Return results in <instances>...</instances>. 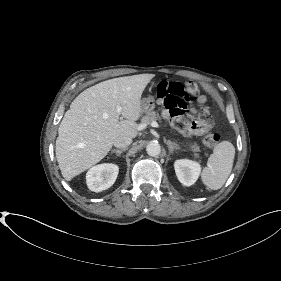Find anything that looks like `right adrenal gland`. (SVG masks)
Wrapping results in <instances>:
<instances>
[{"mask_svg": "<svg viewBox=\"0 0 281 281\" xmlns=\"http://www.w3.org/2000/svg\"><path fill=\"white\" fill-rule=\"evenodd\" d=\"M125 150H126L125 148H123V149H113V150L111 151V155H112L113 153H115L117 156H120L121 153L124 152Z\"/></svg>", "mask_w": 281, "mask_h": 281, "instance_id": "right-adrenal-gland-1", "label": "right adrenal gland"}]
</instances>
